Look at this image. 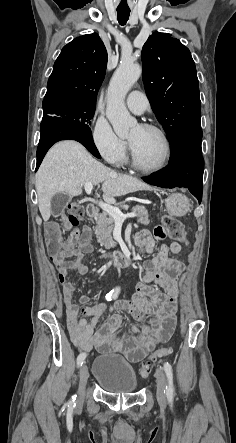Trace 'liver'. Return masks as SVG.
<instances>
[{
    "label": "liver",
    "instance_id": "obj_1",
    "mask_svg": "<svg viewBox=\"0 0 236 443\" xmlns=\"http://www.w3.org/2000/svg\"><path fill=\"white\" fill-rule=\"evenodd\" d=\"M86 183H102L103 197L108 203H114L115 197L151 189V186L137 178L104 166L80 143L62 141L48 151L36 173L35 185L43 220L50 218V203L55 194L78 196L82 194V187Z\"/></svg>",
    "mask_w": 236,
    "mask_h": 443
}]
</instances>
